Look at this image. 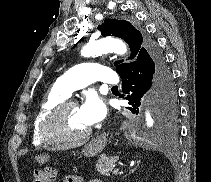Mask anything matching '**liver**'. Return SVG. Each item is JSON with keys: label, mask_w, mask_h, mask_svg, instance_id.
Masks as SVG:
<instances>
[{"label": "liver", "mask_w": 211, "mask_h": 182, "mask_svg": "<svg viewBox=\"0 0 211 182\" xmlns=\"http://www.w3.org/2000/svg\"><path fill=\"white\" fill-rule=\"evenodd\" d=\"M69 146H58V147H53L50 150H64V149H68Z\"/></svg>", "instance_id": "liver-1"}]
</instances>
